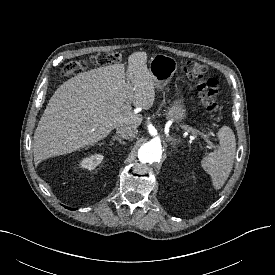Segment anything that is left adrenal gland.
<instances>
[{"instance_id": "obj_1", "label": "left adrenal gland", "mask_w": 275, "mask_h": 275, "mask_svg": "<svg viewBox=\"0 0 275 275\" xmlns=\"http://www.w3.org/2000/svg\"><path fill=\"white\" fill-rule=\"evenodd\" d=\"M167 141L171 142V145L175 148L176 144H178L177 139L174 138H166Z\"/></svg>"}]
</instances>
